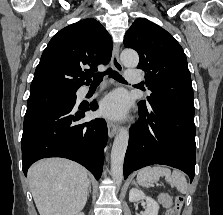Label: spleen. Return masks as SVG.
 Returning <instances> with one entry per match:
<instances>
[{
  "instance_id": "1",
  "label": "spleen",
  "mask_w": 223,
  "mask_h": 215,
  "mask_svg": "<svg viewBox=\"0 0 223 215\" xmlns=\"http://www.w3.org/2000/svg\"><path fill=\"white\" fill-rule=\"evenodd\" d=\"M162 175H165L166 181H169L171 185H175L178 191L181 193H186L187 191V179L182 173V171H170L169 167H161V165H156V167H143L138 171L137 181L140 185H152L154 181H158Z\"/></svg>"
}]
</instances>
